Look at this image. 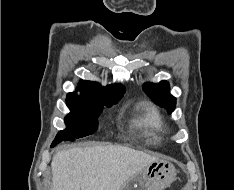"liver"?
<instances>
[{
    "label": "liver",
    "mask_w": 234,
    "mask_h": 190,
    "mask_svg": "<svg viewBox=\"0 0 234 190\" xmlns=\"http://www.w3.org/2000/svg\"><path fill=\"white\" fill-rule=\"evenodd\" d=\"M156 160L121 145L59 151L51 162L52 190H120L130 177Z\"/></svg>",
    "instance_id": "obj_1"
}]
</instances>
